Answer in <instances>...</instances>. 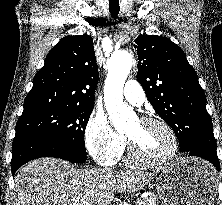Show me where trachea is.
Instances as JSON below:
<instances>
[{
    "label": "trachea",
    "mask_w": 222,
    "mask_h": 205,
    "mask_svg": "<svg viewBox=\"0 0 222 205\" xmlns=\"http://www.w3.org/2000/svg\"><path fill=\"white\" fill-rule=\"evenodd\" d=\"M109 11L111 15L115 17L116 15H118L120 8L118 6H110Z\"/></svg>",
    "instance_id": "obj_1"
}]
</instances>
